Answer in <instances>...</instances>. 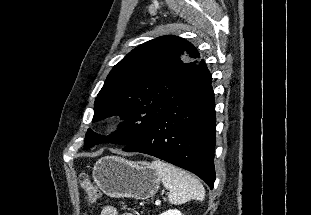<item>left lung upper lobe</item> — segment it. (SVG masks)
Masks as SVG:
<instances>
[{
    "mask_svg": "<svg viewBox=\"0 0 311 215\" xmlns=\"http://www.w3.org/2000/svg\"><path fill=\"white\" fill-rule=\"evenodd\" d=\"M199 52L185 39L162 36L133 49L110 71L94 103L93 122L119 115L125 122L109 136L88 129L85 148L128 145L194 74Z\"/></svg>",
    "mask_w": 311,
    "mask_h": 215,
    "instance_id": "left-lung-upper-lobe-1",
    "label": "left lung upper lobe"
}]
</instances>
